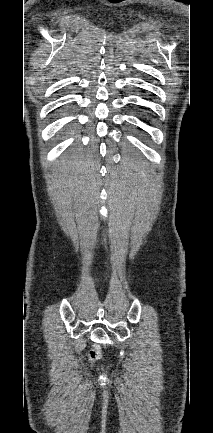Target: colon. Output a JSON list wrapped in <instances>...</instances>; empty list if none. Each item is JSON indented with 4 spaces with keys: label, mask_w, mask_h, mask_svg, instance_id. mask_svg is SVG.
Instances as JSON below:
<instances>
[{
    "label": "colon",
    "mask_w": 213,
    "mask_h": 433,
    "mask_svg": "<svg viewBox=\"0 0 213 433\" xmlns=\"http://www.w3.org/2000/svg\"><path fill=\"white\" fill-rule=\"evenodd\" d=\"M89 360L91 362H94L98 359H100L101 357V349L99 346H94L90 349L89 354H88Z\"/></svg>",
    "instance_id": "obj_1"
}]
</instances>
